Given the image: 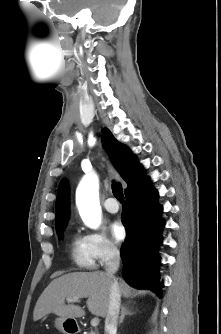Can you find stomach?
<instances>
[{
  "label": "stomach",
  "instance_id": "obj_1",
  "mask_svg": "<svg viewBox=\"0 0 221 334\" xmlns=\"http://www.w3.org/2000/svg\"><path fill=\"white\" fill-rule=\"evenodd\" d=\"M55 326L58 330L62 331L65 334H70L69 332L77 331V324L75 320H70L67 318L59 317L55 320Z\"/></svg>",
  "mask_w": 221,
  "mask_h": 334
}]
</instances>
